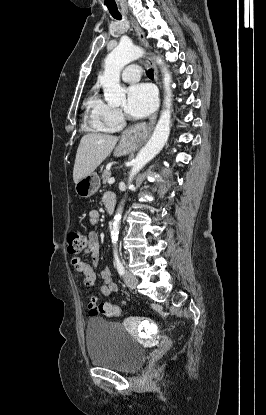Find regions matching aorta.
Returning a JSON list of instances; mask_svg holds the SVG:
<instances>
[{
  "label": "aorta",
  "instance_id": "obj_1",
  "mask_svg": "<svg viewBox=\"0 0 266 415\" xmlns=\"http://www.w3.org/2000/svg\"><path fill=\"white\" fill-rule=\"evenodd\" d=\"M143 54L144 51L138 46L131 43H120L107 55L104 73L100 78V83L103 87L105 100L110 106H119L125 101V89L120 85L121 70L131 61L139 59ZM156 62L162 67L165 90L164 108L150 140L139 151L134 160L132 169L129 173V188L132 187L131 182L136 174L161 151L170 134V108L172 105V92L170 89L171 75L160 58L157 57ZM121 215L122 207H120L115 214L112 224L111 240L114 246H116L118 241Z\"/></svg>",
  "mask_w": 266,
  "mask_h": 415
}]
</instances>
